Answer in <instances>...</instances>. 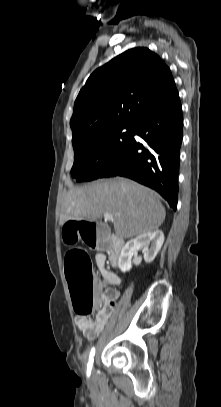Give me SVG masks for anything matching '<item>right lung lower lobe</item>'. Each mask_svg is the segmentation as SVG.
<instances>
[{"mask_svg":"<svg viewBox=\"0 0 221 407\" xmlns=\"http://www.w3.org/2000/svg\"><path fill=\"white\" fill-rule=\"evenodd\" d=\"M134 135L142 140L137 141ZM182 137V107L176 89L134 124L130 144L100 178H131L159 192L176 210Z\"/></svg>","mask_w":221,"mask_h":407,"instance_id":"obj_1","label":"right lung lower lobe"}]
</instances>
